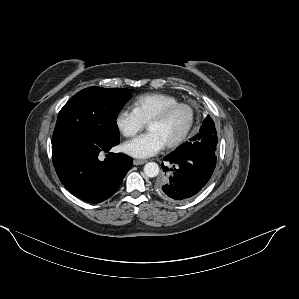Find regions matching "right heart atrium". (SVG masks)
I'll return each mask as SVG.
<instances>
[{
	"label": "right heart atrium",
	"mask_w": 299,
	"mask_h": 299,
	"mask_svg": "<svg viewBox=\"0 0 299 299\" xmlns=\"http://www.w3.org/2000/svg\"><path fill=\"white\" fill-rule=\"evenodd\" d=\"M114 124L117 131L124 137H133L141 131L145 123L133 109L123 107L115 115Z\"/></svg>",
	"instance_id": "obj_1"
}]
</instances>
